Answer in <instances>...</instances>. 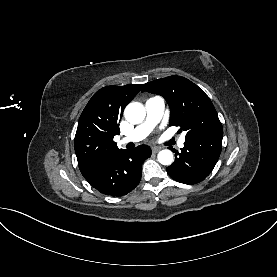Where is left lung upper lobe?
<instances>
[{
    "instance_id": "1",
    "label": "left lung upper lobe",
    "mask_w": 277,
    "mask_h": 277,
    "mask_svg": "<svg viewBox=\"0 0 277 277\" xmlns=\"http://www.w3.org/2000/svg\"><path fill=\"white\" fill-rule=\"evenodd\" d=\"M142 91L166 99L171 109L169 124L179 126V131H187L185 140L223 132L211 100L190 80L181 76H169L146 83Z\"/></svg>"
}]
</instances>
